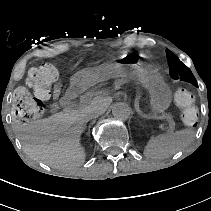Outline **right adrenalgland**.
<instances>
[{
  "instance_id": "2a0ac1e0",
  "label": "right adrenal gland",
  "mask_w": 211,
  "mask_h": 211,
  "mask_svg": "<svg viewBox=\"0 0 211 211\" xmlns=\"http://www.w3.org/2000/svg\"><path fill=\"white\" fill-rule=\"evenodd\" d=\"M95 123V121H92L89 126H88V130H90L91 126Z\"/></svg>"
}]
</instances>
